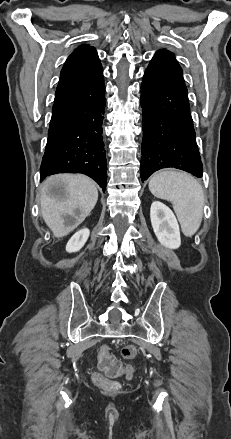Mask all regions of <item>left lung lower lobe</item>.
Masks as SVG:
<instances>
[{"label": "left lung lower lobe", "instance_id": "obj_1", "mask_svg": "<svg viewBox=\"0 0 231 439\" xmlns=\"http://www.w3.org/2000/svg\"><path fill=\"white\" fill-rule=\"evenodd\" d=\"M143 142L141 178L174 167L202 177V162L182 69L174 55L158 51L141 85Z\"/></svg>", "mask_w": 231, "mask_h": 439}]
</instances>
